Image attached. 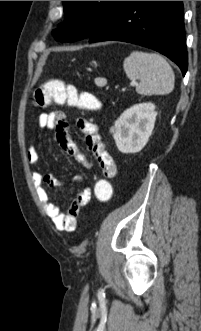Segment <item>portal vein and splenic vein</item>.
<instances>
[{
    "label": "portal vein and splenic vein",
    "mask_w": 201,
    "mask_h": 331,
    "mask_svg": "<svg viewBox=\"0 0 201 331\" xmlns=\"http://www.w3.org/2000/svg\"><path fill=\"white\" fill-rule=\"evenodd\" d=\"M131 84L136 85L137 83L136 82H132Z\"/></svg>",
    "instance_id": "portal-vein-and-splenic-vein-1"
}]
</instances>
